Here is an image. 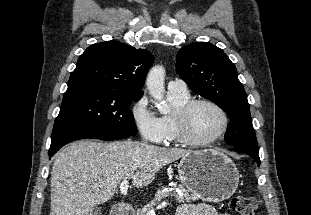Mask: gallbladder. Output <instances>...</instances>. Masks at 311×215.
Segmentation results:
<instances>
[{
    "mask_svg": "<svg viewBox=\"0 0 311 215\" xmlns=\"http://www.w3.org/2000/svg\"><path fill=\"white\" fill-rule=\"evenodd\" d=\"M90 215H101V208L100 207H95Z\"/></svg>",
    "mask_w": 311,
    "mask_h": 215,
    "instance_id": "1",
    "label": "gallbladder"
}]
</instances>
